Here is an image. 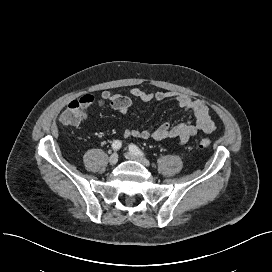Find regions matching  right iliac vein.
Instances as JSON below:
<instances>
[{"mask_svg": "<svg viewBox=\"0 0 272 272\" xmlns=\"http://www.w3.org/2000/svg\"><path fill=\"white\" fill-rule=\"evenodd\" d=\"M117 162H118V154L117 153H113L109 157V163H110V165H115Z\"/></svg>", "mask_w": 272, "mask_h": 272, "instance_id": "1", "label": "right iliac vein"}]
</instances>
